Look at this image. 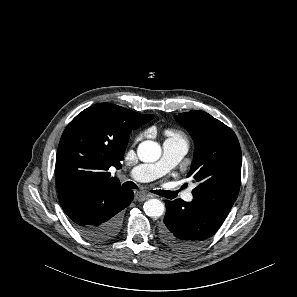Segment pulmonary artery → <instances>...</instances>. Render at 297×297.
<instances>
[{"label": "pulmonary artery", "instance_id": "1", "mask_svg": "<svg viewBox=\"0 0 297 297\" xmlns=\"http://www.w3.org/2000/svg\"><path fill=\"white\" fill-rule=\"evenodd\" d=\"M189 145L186 140H166L163 143V153L161 158L150 164H140L132 168L129 176L136 181L146 182L157 179L174 168L186 155ZM185 201L190 202L192 193L187 191L183 194Z\"/></svg>", "mask_w": 297, "mask_h": 297}]
</instances>
